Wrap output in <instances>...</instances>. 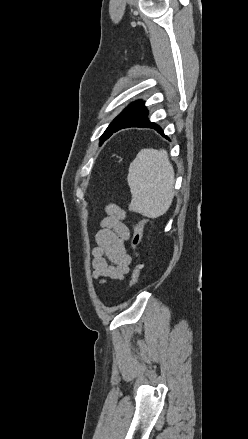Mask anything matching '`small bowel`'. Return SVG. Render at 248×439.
<instances>
[{
  "instance_id": "obj_1",
  "label": "small bowel",
  "mask_w": 248,
  "mask_h": 439,
  "mask_svg": "<svg viewBox=\"0 0 248 439\" xmlns=\"http://www.w3.org/2000/svg\"><path fill=\"white\" fill-rule=\"evenodd\" d=\"M105 213L96 233V245L91 251L92 275L101 283L107 279L122 280L132 262L125 247V242L130 238L125 224L126 212L116 204H108Z\"/></svg>"
}]
</instances>
